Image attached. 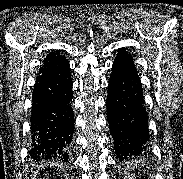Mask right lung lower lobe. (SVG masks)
Listing matches in <instances>:
<instances>
[{"instance_id":"1","label":"right lung lower lobe","mask_w":183,"mask_h":179,"mask_svg":"<svg viewBox=\"0 0 183 179\" xmlns=\"http://www.w3.org/2000/svg\"><path fill=\"white\" fill-rule=\"evenodd\" d=\"M72 79L69 63L41 67L32 94L30 156L68 161V148L74 132L71 108Z\"/></svg>"}]
</instances>
